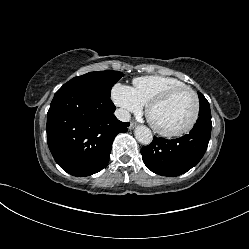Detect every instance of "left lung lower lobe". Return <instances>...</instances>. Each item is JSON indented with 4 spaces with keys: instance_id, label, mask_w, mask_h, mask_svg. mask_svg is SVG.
<instances>
[{
    "instance_id": "obj_1",
    "label": "left lung lower lobe",
    "mask_w": 249,
    "mask_h": 249,
    "mask_svg": "<svg viewBox=\"0 0 249 249\" xmlns=\"http://www.w3.org/2000/svg\"><path fill=\"white\" fill-rule=\"evenodd\" d=\"M211 129V115H202L187 135L172 140L154 137L150 145L141 149L144 164L162 176L175 177L187 172L203 157Z\"/></svg>"
}]
</instances>
